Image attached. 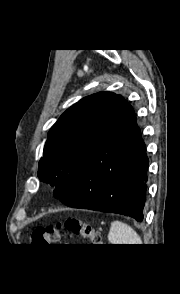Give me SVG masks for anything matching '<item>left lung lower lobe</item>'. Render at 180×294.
Instances as JSON below:
<instances>
[{
	"mask_svg": "<svg viewBox=\"0 0 180 294\" xmlns=\"http://www.w3.org/2000/svg\"><path fill=\"white\" fill-rule=\"evenodd\" d=\"M136 121L130 106L91 157L71 192L60 199L62 203L143 220L148 158Z\"/></svg>",
	"mask_w": 180,
	"mask_h": 294,
	"instance_id": "obj_1",
	"label": "left lung lower lobe"
}]
</instances>
